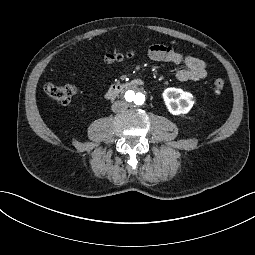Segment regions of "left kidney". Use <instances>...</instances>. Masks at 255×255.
<instances>
[{
    "mask_svg": "<svg viewBox=\"0 0 255 255\" xmlns=\"http://www.w3.org/2000/svg\"><path fill=\"white\" fill-rule=\"evenodd\" d=\"M163 99L169 112L173 115L188 113L194 104L193 95L178 88L165 89Z\"/></svg>",
    "mask_w": 255,
    "mask_h": 255,
    "instance_id": "left-kidney-1",
    "label": "left kidney"
}]
</instances>
